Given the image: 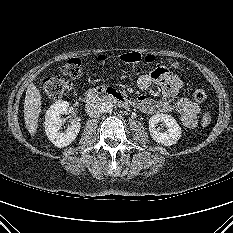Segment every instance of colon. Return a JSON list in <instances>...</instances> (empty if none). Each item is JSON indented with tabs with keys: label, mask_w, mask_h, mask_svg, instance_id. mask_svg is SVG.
<instances>
[{
	"label": "colon",
	"mask_w": 233,
	"mask_h": 233,
	"mask_svg": "<svg viewBox=\"0 0 233 233\" xmlns=\"http://www.w3.org/2000/svg\"><path fill=\"white\" fill-rule=\"evenodd\" d=\"M100 60L103 58L100 57ZM120 60L126 64H138V63H152L154 61V56L145 55L138 52H127L120 56ZM173 67H178L179 64L176 62H170ZM62 73L72 79L79 78L82 74V62L79 58H71L62 68ZM73 83L71 80L61 77L52 76L46 77L39 82V88L43 93L52 99H58L68 92L71 91ZM193 100L196 102H202L206 98V93L203 89H196L193 93ZM212 116L209 112L202 116L201 124L203 126H208L211 123Z\"/></svg>",
	"instance_id": "1"
}]
</instances>
